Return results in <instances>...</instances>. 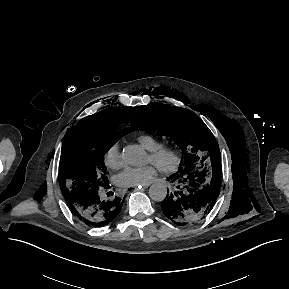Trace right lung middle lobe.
I'll list each match as a JSON object with an SVG mask.
<instances>
[{
  "mask_svg": "<svg viewBox=\"0 0 289 289\" xmlns=\"http://www.w3.org/2000/svg\"><path fill=\"white\" fill-rule=\"evenodd\" d=\"M115 126L86 128L70 135L62 147L59 182L65 200L96 190L105 182L104 154L132 132Z\"/></svg>",
  "mask_w": 289,
  "mask_h": 289,
  "instance_id": "right-lung-middle-lobe-1",
  "label": "right lung middle lobe"
}]
</instances>
